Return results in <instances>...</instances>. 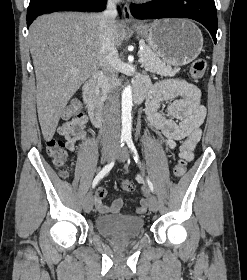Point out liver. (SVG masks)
<instances>
[{
	"instance_id": "1",
	"label": "liver",
	"mask_w": 247,
	"mask_h": 280,
	"mask_svg": "<svg viewBox=\"0 0 247 280\" xmlns=\"http://www.w3.org/2000/svg\"><path fill=\"white\" fill-rule=\"evenodd\" d=\"M98 27V14L77 12L42 15L30 26L37 112L46 141L54 136L68 101L100 66ZM124 37L125 25L117 21L115 46Z\"/></svg>"
}]
</instances>
